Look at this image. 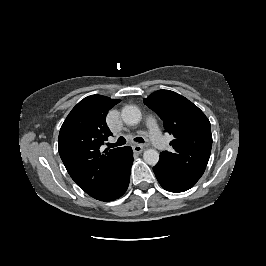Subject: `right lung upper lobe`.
Wrapping results in <instances>:
<instances>
[{
    "label": "right lung upper lobe",
    "mask_w": 266,
    "mask_h": 266,
    "mask_svg": "<svg viewBox=\"0 0 266 266\" xmlns=\"http://www.w3.org/2000/svg\"><path fill=\"white\" fill-rule=\"evenodd\" d=\"M119 102L102 95L88 96L71 110L59 132L58 151L68 173L93 198L108 187L125 149L100 151L112 135L106 115Z\"/></svg>",
    "instance_id": "1"
}]
</instances>
